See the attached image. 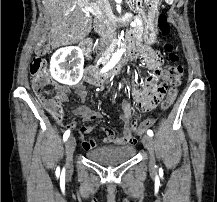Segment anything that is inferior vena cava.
<instances>
[{
	"instance_id": "obj_1",
	"label": "inferior vena cava",
	"mask_w": 217,
	"mask_h": 202,
	"mask_svg": "<svg viewBox=\"0 0 217 202\" xmlns=\"http://www.w3.org/2000/svg\"><path fill=\"white\" fill-rule=\"evenodd\" d=\"M97 4L100 6V8H105V6L108 4V0H97ZM96 24H98V22H96ZM99 36L100 50H105L109 44L111 36L107 30H99Z\"/></svg>"
}]
</instances>
